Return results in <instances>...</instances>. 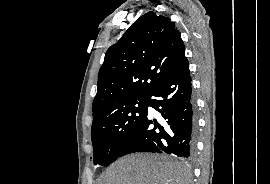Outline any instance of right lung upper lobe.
<instances>
[{"label":"right lung upper lobe","instance_id":"obj_1","mask_svg":"<svg viewBox=\"0 0 270 184\" xmlns=\"http://www.w3.org/2000/svg\"><path fill=\"white\" fill-rule=\"evenodd\" d=\"M184 59L174 23L152 11L141 16L105 54L92 104L93 123L130 100L147 97Z\"/></svg>","mask_w":270,"mask_h":184}]
</instances>
